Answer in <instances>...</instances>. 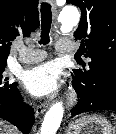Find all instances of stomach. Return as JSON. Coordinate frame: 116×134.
I'll return each mask as SVG.
<instances>
[{
  "instance_id": "0dacf381",
  "label": "stomach",
  "mask_w": 116,
  "mask_h": 134,
  "mask_svg": "<svg viewBox=\"0 0 116 134\" xmlns=\"http://www.w3.org/2000/svg\"><path fill=\"white\" fill-rule=\"evenodd\" d=\"M110 122L99 115H88L69 124L66 134H112Z\"/></svg>"
}]
</instances>
